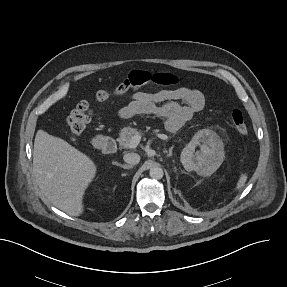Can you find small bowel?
<instances>
[{
    "label": "small bowel",
    "instance_id": "small-bowel-1",
    "mask_svg": "<svg viewBox=\"0 0 287 287\" xmlns=\"http://www.w3.org/2000/svg\"><path fill=\"white\" fill-rule=\"evenodd\" d=\"M205 106V97L197 89L186 87L156 92L137 91L120 109L122 118L138 114L155 115L165 119L169 131L182 128L195 113Z\"/></svg>",
    "mask_w": 287,
    "mask_h": 287
}]
</instances>
